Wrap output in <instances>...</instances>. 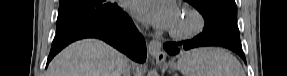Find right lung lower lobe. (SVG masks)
Wrapping results in <instances>:
<instances>
[{
    "label": "right lung lower lobe",
    "instance_id": "right-lung-lower-lobe-1",
    "mask_svg": "<svg viewBox=\"0 0 287 76\" xmlns=\"http://www.w3.org/2000/svg\"><path fill=\"white\" fill-rule=\"evenodd\" d=\"M82 38L102 39L137 62L143 63L146 60L145 40L128 14L122 12L115 18L78 25L57 34L52 43L47 65L65 46Z\"/></svg>",
    "mask_w": 287,
    "mask_h": 76
}]
</instances>
